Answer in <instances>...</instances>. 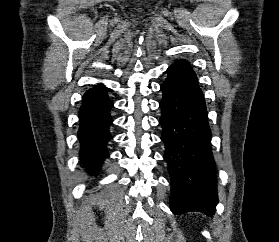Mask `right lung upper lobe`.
I'll list each match as a JSON object with an SVG mask.
<instances>
[{"label": "right lung upper lobe", "instance_id": "cb5924a9", "mask_svg": "<svg viewBox=\"0 0 279 242\" xmlns=\"http://www.w3.org/2000/svg\"><path fill=\"white\" fill-rule=\"evenodd\" d=\"M100 87H102V86L101 85H95L93 89H89L86 93L91 92V91H93L95 89H98Z\"/></svg>", "mask_w": 279, "mask_h": 242}]
</instances>
